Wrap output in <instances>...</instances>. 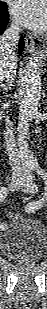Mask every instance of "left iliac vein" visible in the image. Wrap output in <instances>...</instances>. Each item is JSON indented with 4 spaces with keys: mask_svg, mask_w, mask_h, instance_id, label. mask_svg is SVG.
Listing matches in <instances>:
<instances>
[{
    "mask_svg": "<svg viewBox=\"0 0 47 309\" xmlns=\"http://www.w3.org/2000/svg\"><path fill=\"white\" fill-rule=\"evenodd\" d=\"M20 189L25 193H34L36 192V185L32 183L30 179L24 180V183Z\"/></svg>",
    "mask_w": 47,
    "mask_h": 309,
    "instance_id": "obj_1",
    "label": "left iliac vein"
}]
</instances>
